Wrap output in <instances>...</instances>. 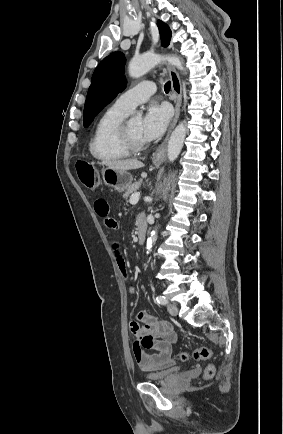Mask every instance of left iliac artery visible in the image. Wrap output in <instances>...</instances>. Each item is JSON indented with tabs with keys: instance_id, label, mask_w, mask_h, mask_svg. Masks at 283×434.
Here are the masks:
<instances>
[{
	"instance_id": "44dca946",
	"label": "left iliac artery",
	"mask_w": 283,
	"mask_h": 434,
	"mask_svg": "<svg viewBox=\"0 0 283 434\" xmlns=\"http://www.w3.org/2000/svg\"><path fill=\"white\" fill-rule=\"evenodd\" d=\"M156 301L159 304H162V305H165V304L168 303L167 299L164 296H161V295H159V296L156 297Z\"/></svg>"
}]
</instances>
